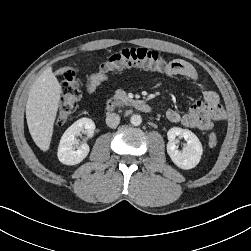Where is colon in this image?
Wrapping results in <instances>:
<instances>
[{
	"instance_id": "5ec220e1",
	"label": "colon",
	"mask_w": 251,
	"mask_h": 251,
	"mask_svg": "<svg viewBox=\"0 0 251 251\" xmlns=\"http://www.w3.org/2000/svg\"><path fill=\"white\" fill-rule=\"evenodd\" d=\"M169 64L157 51L146 48H126L110 55L101 64L100 71L107 75L128 67H141L152 71L165 72ZM63 76L64 81L61 85V98L56 117V124L59 126L69 119L81 99V79L78 70L66 68L63 70ZM208 141L211 147L216 146L218 143L217 135L210 134Z\"/></svg>"
}]
</instances>
